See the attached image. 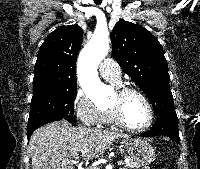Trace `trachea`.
<instances>
[{"mask_svg":"<svg viewBox=\"0 0 200 169\" xmlns=\"http://www.w3.org/2000/svg\"><path fill=\"white\" fill-rule=\"evenodd\" d=\"M95 4L99 5L101 4L102 0H94Z\"/></svg>","mask_w":200,"mask_h":169,"instance_id":"trachea-1","label":"trachea"}]
</instances>
